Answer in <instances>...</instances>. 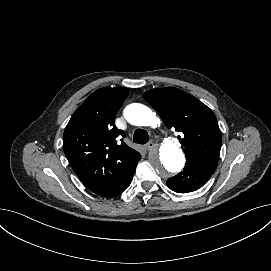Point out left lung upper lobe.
<instances>
[{
	"instance_id": "5c2ea615",
	"label": "left lung upper lobe",
	"mask_w": 271,
	"mask_h": 271,
	"mask_svg": "<svg viewBox=\"0 0 271 271\" xmlns=\"http://www.w3.org/2000/svg\"><path fill=\"white\" fill-rule=\"evenodd\" d=\"M144 98L168 128L183 133L178 139L186 155V165L211 163L217 166L222 137L217 119L209 107L174 87L147 91Z\"/></svg>"
}]
</instances>
